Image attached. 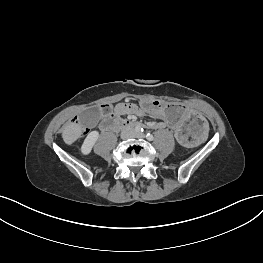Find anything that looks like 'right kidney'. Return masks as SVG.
Listing matches in <instances>:
<instances>
[{"mask_svg":"<svg viewBox=\"0 0 263 263\" xmlns=\"http://www.w3.org/2000/svg\"><path fill=\"white\" fill-rule=\"evenodd\" d=\"M99 137V133L97 131L90 132L87 137L85 138L82 146H81V153L83 155H88L93 146L95 145L97 139Z\"/></svg>","mask_w":263,"mask_h":263,"instance_id":"ca27d5eb","label":"right kidney"}]
</instances>
